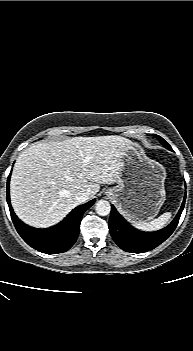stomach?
<instances>
[{
	"mask_svg": "<svg viewBox=\"0 0 193 351\" xmlns=\"http://www.w3.org/2000/svg\"><path fill=\"white\" fill-rule=\"evenodd\" d=\"M122 164L117 185L107 189L106 195L127 219L134 222L153 219L165 201V168L148 158L132 141L125 146Z\"/></svg>",
	"mask_w": 193,
	"mask_h": 351,
	"instance_id": "0dacf381",
	"label": "stomach"
}]
</instances>
